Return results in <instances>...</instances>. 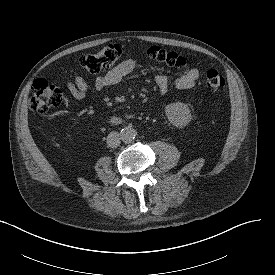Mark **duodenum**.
Here are the masks:
<instances>
[{"label": "duodenum", "instance_id": "duodenum-1", "mask_svg": "<svg viewBox=\"0 0 275 275\" xmlns=\"http://www.w3.org/2000/svg\"><path fill=\"white\" fill-rule=\"evenodd\" d=\"M113 121L116 122V123H118V120H117V119H114Z\"/></svg>", "mask_w": 275, "mask_h": 275}]
</instances>
